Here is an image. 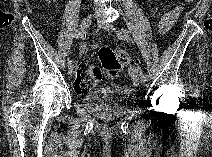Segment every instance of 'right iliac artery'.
<instances>
[{
  "mask_svg": "<svg viewBox=\"0 0 212 157\" xmlns=\"http://www.w3.org/2000/svg\"><path fill=\"white\" fill-rule=\"evenodd\" d=\"M74 37H75V39H79V38L82 37V34L80 32H77ZM67 64H68V66H71L72 65V60L68 59V63Z\"/></svg>",
  "mask_w": 212,
  "mask_h": 157,
  "instance_id": "right-iliac-artery-1",
  "label": "right iliac artery"
}]
</instances>
